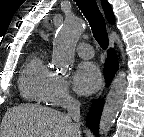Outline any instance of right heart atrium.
Instances as JSON below:
<instances>
[{"instance_id":"1","label":"right heart atrium","mask_w":144,"mask_h":137,"mask_svg":"<svg viewBox=\"0 0 144 137\" xmlns=\"http://www.w3.org/2000/svg\"><path fill=\"white\" fill-rule=\"evenodd\" d=\"M75 100L69 81L61 76H56L50 95V103L58 107H66Z\"/></svg>"}]
</instances>
